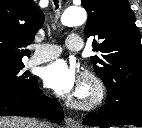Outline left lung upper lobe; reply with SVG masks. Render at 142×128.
I'll list each match as a JSON object with an SVG mask.
<instances>
[{"instance_id":"left-lung-upper-lobe-1","label":"left lung upper lobe","mask_w":142,"mask_h":128,"mask_svg":"<svg viewBox=\"0 0 142 128\" xmlns=\"http://www.w3.org/2000/svg\"><path fill=\"white\" fill-rule=\"evenodd\" d=\"M87 10L84 29L95 36L92 56L95 72L107 87L106 102L113 104L142 96V45L128 0H81Z\"/></svg>"}]
</instances>
